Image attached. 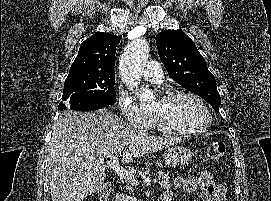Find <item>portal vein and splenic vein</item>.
Instances as JSON below:
<instances>
[{"label":"portal vein and splenic vein","mask_w":271,"mask_h":201,"mask_svg":"<svg viewBox=\"0 0 271 201\" xmlns=\"http://www.w3.org/2000/svg\"><path fill=\"white\" fill-rule=\"evenodd\" d=\"M101 162H103V159H101ZM108 166H110V168H112V170H114L120 177L124 178L125 180H127L128 182H130L133 185H137L138 184V180L136 179V177L134 175H132L130 172L124 170L118 162V155L116 154L113 157L112 161H107L106 162ZM154 183H158V179H154L153 180Z\"/></svg>","instance_id":"obj_1"}]
</instances>
